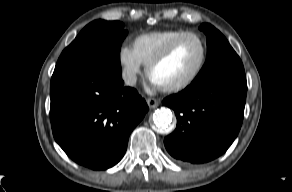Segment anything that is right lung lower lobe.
<instances>
[{"label":"right lung lower lobe","instance_id":"obj_1","mask_svg":"<svg viewBox=\"0 0 292 192\" xmlns=\"http://www.w3.org/2000/svg\"><path fill=\"white\" fill-rule=\"evenodd\" d=\"M123 85L121 74L101 65L56 64L50 86L52 131L78 164L104 170L124 156L148 106L135 89Z\"/></svg>","mask_w":292,"mask_h":192}]
</instances>
